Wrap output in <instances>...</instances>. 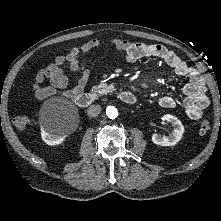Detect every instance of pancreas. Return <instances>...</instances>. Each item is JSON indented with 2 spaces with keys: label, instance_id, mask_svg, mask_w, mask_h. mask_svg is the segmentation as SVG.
Here are the masks:
<instances>
[{
  "label": "pancreas",
  "instance_id": "cf45deb5",
  "mask_svg": "<svg viewBox=\"0 0 221 221\" xmlns=\"http://www.w3.org/2000/svg\"><path fill=\"white\" fill-rule=\"evenodd\" d=\"M93 93L106 94L110 92V87L106 83H101L92 87Z\"/></svg>",
  "mask_w": 221,
  "mask_h": 221
}]
</instances>
